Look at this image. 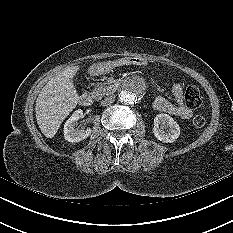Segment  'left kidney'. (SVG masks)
Returning a JSON list of instances; mask_svg holds the SVG:
<instances>
[{
	"label": "left kidney",
	"instance_id": "5707ae66",
	"mask_svg": "<svg viewBox=\"0 0 233 233\" xmlns=\"http://www.w3.org/2000/svg\"><path fill=\"white\" fill-rule=\"evenodd\" d=\"M153 133L159 141L172 143L179 137L180 127L171 116L161 113L154 118Z\"/></svg>",
	"mask_w": 233,
	"mask_h": 233
}]
</instances>
